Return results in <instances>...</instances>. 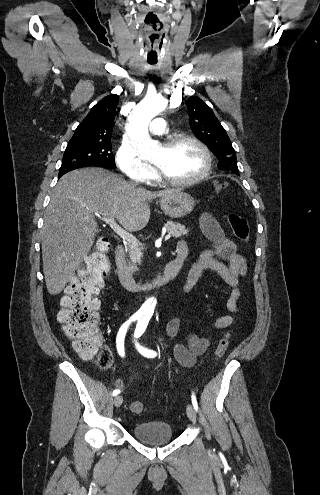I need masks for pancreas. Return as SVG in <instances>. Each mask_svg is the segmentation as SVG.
Instances as JSON below:
<instances>
[{
	"label": "pancreas",
	"mask_w": 320,
	"mask_h": 495,
	"mask_svg": "<svg viewBox=\"0 0 320 495\" xmlns=\"http://www.w3.org/2000/svg\"><path fill=\"white\" fill-rule=\"evenodd\" d=\"M166 230L168 234L174 237H181L183 235H187L189 230L186 228L185 225H182L180 223H174L172 221H168L165 224ZM143 248L140 247V244H137L136 246L131 245L129 248V257L130 260L128 261L127 268L129 271L134 272L137 271V263L140 264V259L143 255L141 252Z\"/></svg>",
	"instance_id": "1"
}]
</instances>
